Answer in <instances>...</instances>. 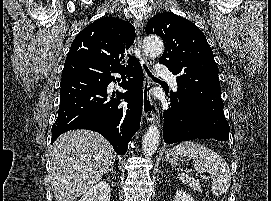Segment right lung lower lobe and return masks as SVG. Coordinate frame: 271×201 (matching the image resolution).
Here are the masks:
<instances>
[{"instance_id": "right-lung-lower-lobe-1", "label": "right lung lower lobe", "mask_w": 271, "mask_h": 201, "mask_svg": "<svg viewBox=\"0 0 271 201\" xmlns=\"http://www.w3.org/2000/svg\"><path fill=\"white\" fill-rule=\"evenodd\" d=\"M115 73L121 75L120 86L127 92H117V98L109 100L107 86L120 81ZM142 84L143 71L139 62L111 67L84 58L66 60L51 143L66 131L88 129L103 135L119 155L125 154L128 142L140 128Z\"/></svg>"}]
</instances>
